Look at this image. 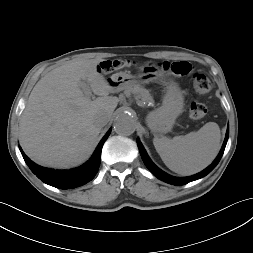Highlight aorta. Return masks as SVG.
<instances>
[{"instance_id": "1", "label": "aorta", "mask_w": 253, "mask_h": 253, "mask_svg": "<svg viewBox=\"0 0 253 253\" xmlns=\"http://www.w3.org/2000/svg\"><path fill=\"white\" fill-rule=\"evenodd\" d=\"M136 120L134 116L126 111L120 112L114 122V130L117 134L128 136L134 133Z\"/></svg>"}]
</instances>
